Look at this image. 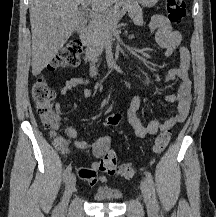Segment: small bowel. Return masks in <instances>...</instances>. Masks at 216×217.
Wrapping results in <instances>:
<instances>
[{
	"label": "small bowel",
	"instance_id": "1",
	"mask_svg": "<svg viewBox=\"0 0 216 217\" xmlns=\"http://www.w3.org/2000/svg\"><path fill=\"white\" fill-rule=\"evenodd\" d=\"M150 30L155 32V39L159 46L164 49L165 57L177 56L179 64L177 68L170 69L164 78V82L169 83L176 79L180 80V85L176 94H168L165 101L177 104L176 112L173 116L165 119L163 122L150 120L144 124L138 115L141 105V96L136 95L127 110L129 124L133 128L136 136L145 138L149 135H156L160 131L170 130L175 125L182 123L188 116L192 99V81L189 77L191 66V55L189 50L183 45L182 34L174 30L170 21L163 14H156L149 23ZM89 83L87 78H72L64 82L60 88V94L67 96L72 90L82 88L85 97H92L93 92L86 87ZM57 110L64 114L67 112L60 103L56 104ZM66 135L72 140L78 149H88L91 151L94 160L88 167L78 170V176L90 185L99 184L102 187L107 186L105 178L98 177L99 163L104 154L110 151L112 138L108 135L98 138L93 143H88L79 138L77 131L72 127L65 128Z\"/></svg>",
	"mask_w": 216,
	"mask_h": 217
}]
</instances>
